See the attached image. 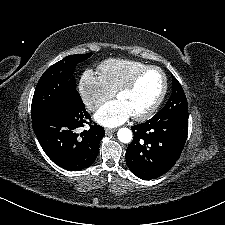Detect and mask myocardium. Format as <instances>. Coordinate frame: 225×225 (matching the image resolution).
<instances>
[{"label":"myocardium","mask_w":225,"mask_h":225,"mask_svg":"<svg viewBox=\"0 0 225 225\" xmlns=\"http://www.w3.org/2000/svg\"><path fill=\"white\" fill-rule=\"evenodd\" d=\"M150 70H155L157 72L160 73L161 77H162V87H161V91L158 95V97L156 98V100L154 101V103L152 104V106L145 111L142 114L139 115H135L132 116L133 120L135 121H144L149 119L150 117L153 116V114L157 111L158 107L160 106V104L162 103L165 94L167 92V77L166 74L164 73V71L158 67V66H154V65H148L145 66L143 68H141L140 70H138L124 85H122L116 92H115V97L118 98L121 94L126 93L130 90H132L134 88V86L136 85V83L138 82V80L141 78V76Z\"/></svg>","instance_id":"f54148a6"}]
</instances>
